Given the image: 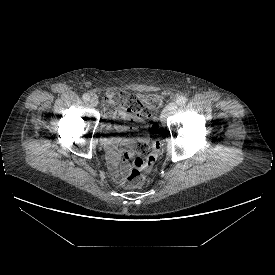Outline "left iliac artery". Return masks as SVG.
I'll list each match as a JSON object with an SVG mask.
<instances>
[{
  "mask_svg": "<svg viewBox=\"0 0 275 275\" xmlns=\"http://www.w3.org/2000/svg\"><path fill=\"white\" fill-rule=\"evenodd\" d=\"M187 102V98L183 95L179 96L177 99H176V104L179 105V106H183L185 105Z\"/></svg>",
  "mask_w": 275,
  "mask_h": 275,
  "instance_id": "obj_1",
  "label": "left iliac artery"
}]
</instances>
